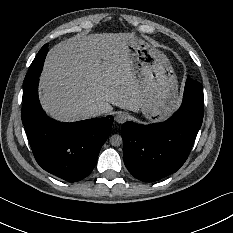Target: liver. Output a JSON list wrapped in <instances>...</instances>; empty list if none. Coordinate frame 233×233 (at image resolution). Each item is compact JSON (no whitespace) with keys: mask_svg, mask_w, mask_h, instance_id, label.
<instances>
[{"mask_svg":"<svg viewBox=\"0 0 233 233\" xmlns=\"http://www.w3.org/2000/svg\"><path fill=\"white\" fill-rule=\"evenodd\" d=\"M133 33L77 34L50 49L40 76V101L61 121L93 117L92 107L140 110L138 80L131 71L127 41Z\"/></svg>","mask_w":233,"mask_h":233,"instance_id":"1","label":"liver"}]
</instances>
